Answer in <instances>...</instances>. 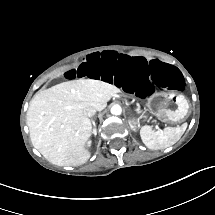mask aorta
Listing matches in <instances>:
<instances>
[{
	"mask_svg": "<svg viewBox=\"0 0 215 215\" xmlns=\"http://www.w3.org/2000/svg\"><path fill=\"white\" fill-rule=\"evenodd\" d=\"M110 111H111V114L113 115H120L122 113V108L120 105L116 104L111 107Z\"/></svg>",
	"mask_w": 215,
	"mask_h": 215,
	"instance_id": "1",
	"label": "aorta"
}]
</instances>
